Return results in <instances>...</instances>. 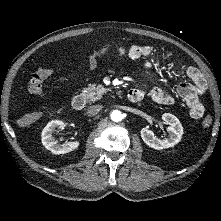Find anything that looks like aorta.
Masks as SVG:
<instances>
[{
	"label": "aorta",
	"mask_w": 221,
	"mask_h": 221,
	"mask_svg": "<svg viewBox=\"0 0 221 221\" xmlns=\"http://www.w3.org/2000/svg\"><path fill=\"white\" fill-rule=\"evenodd\" d=\"M111 119L114 122H120L123 119V114L119 110H114L111 113Z\"/></svg>",
	"instance_id": "762f6f07"
}]
</instances>
